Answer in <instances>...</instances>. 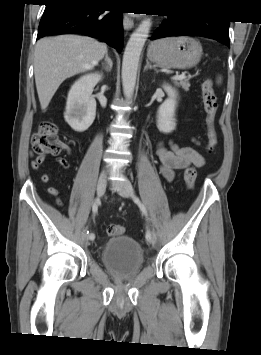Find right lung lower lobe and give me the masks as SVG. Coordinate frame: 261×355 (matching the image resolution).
Instances as JSON below:
<instances>
[{
    "instance_id": "98d812e1",
    "label": "right lung lower lobe",
    "mask_w": 261,
    "mask_h": 355,
    "mask_svg": "<svg viewBox=\"0 0 261 355\" xmlns=\"http://www.w3.org/2000/svg\"><path fill=\"white\" fill-rule=\"evenodd\" d=\"M37 39L53 34L79 33L99 38L119 52L123 48L122 13L97 9L98 4L86 0H45Z\"/></svg>"
}]
</instances>
